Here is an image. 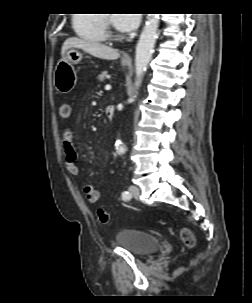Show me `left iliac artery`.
Instances as JSON below:
<instances>
[{"instance_id":"44dca946","label":"left iliac artery","mask_w":252,"mask_h":303,"mask_svg":"<svg viewBox=\"0 0 252 303\" xmlns=\"http://www.w3.org/2000/svg\"><path fill=\"white\" fill-rule=\"evenodd\" d=\"M122 199L123 200H128V199H130V194H129V192H123L122 193Z\"/></svg>"}]
</instances>
